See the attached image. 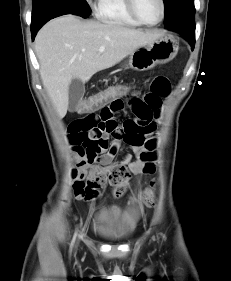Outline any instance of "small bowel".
<instances>
[{
    "instance_id": "1",
    "label": "small bowel",
    "mask_w": 231,
    "mask_h": 281,
    "mask_svg": "<svg viewBox=\"0 0 231 281\" xmlns=\"http://www.w3.org/2000/svg\"><path fill=\"white\" fill-rule=\"evenodd\" d=\"M144 87L145 91L136 89L129 95L128 103L134 117L122 124L117 123L115 114L124 109V98L102 107L100 113L89 112L69 124L68 139L77 160L72 173L74 183L84 179L91 164H98L105 170L125 166L135 175L153 172L149 151L154 142L146 141L144 136L156 130L162 100L170 92V83L165 76L157 75L147 78ZM122 141L132 148L137 160L133 161L132 154L126 153L120 162H115Z\"/></svg>"
}]
</instances>
